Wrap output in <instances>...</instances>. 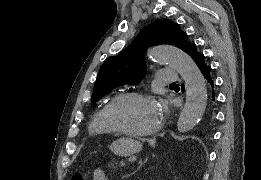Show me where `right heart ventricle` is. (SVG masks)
<instances>
[{
	"mask_svg": "<svg viewBox=\"0 0 261 180\" xmlns=\"http://www.w3.org/2000/svg\"><path fill=\"white\" fill-rule=\"evenodd\" d=\"M107 103L108 102H105L104 104H102L94 112V114L92 115V117L89 121L88 128H87V132H88L89 137L92 140H95V141H98V142H106V141H109L113 138H116L106 128L104 121H103L102 113H103V109L107 105Z\"/></svg>",
	"mask_w": 261,
	"mask_h": 180,
	"instance_id": "e07e8e85",
	"label": "right heart ventricle"
}]
</instances>
